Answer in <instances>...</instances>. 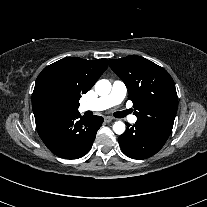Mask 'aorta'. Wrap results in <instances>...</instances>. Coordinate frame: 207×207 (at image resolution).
Returning a JSON list of instances; mask_svg holds the SVG:
<instances>
[{"instance_id":"obj_1","label":"aorta","mask_w":207,"mask_h":207,"mask_svg":"<svg viewBox=\"0 0 207 207\" xmlns=\"http://www.w3.org/2000/svg\"><path fill=\"white\" fill-rule=\"evenodd\" d=\"M95 91L100 96H106L111 91V83L106 79L99 80L95 84ZM113 131L118 135L123 134L125 131V124L122 121L115 122Z\"/></svg>"}]
</instances>
